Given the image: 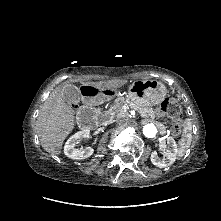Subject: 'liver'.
Instances as JSON below:
<instances>
[{
	"label": "liver",
	"mask_w": 221,
	"mask_h": 221,
	"mask_svg": "<svg viewBox=\"0 0 221 221\" xmlns=\"http://www.w3.org/2000/svg\"><path fill=\"white\" fill-rule=\"evenodd\" d=\"M127 80L116 79L99 82H86L96 89L99 87L118 89ZM67 84L57 87L44 102L36 121L37 134L44 150L59 155L65 138L75 126V112L62 98V90Z\"/></svg>",
	"instance_id": "obj_1"
}]
</instances>
